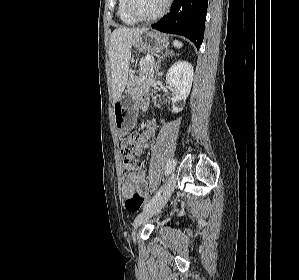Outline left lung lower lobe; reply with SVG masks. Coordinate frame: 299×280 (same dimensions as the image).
<instances>
[{"instance_id":"0a47b994","label":"left lung lower lobe","mask_w":299,"mask_h":280,"mask_svg":"<svg viewBox=\"0 0 299 280\" xmlns=\"http://www.w3.org/2000/svg\"><path fill=\"white\" fill-rule=\"evenodd\" d=\"M207 7L208 0H175L170 12L152 28L183 35L199 49L204 37Z\"/></svg>"}]
</instances>
